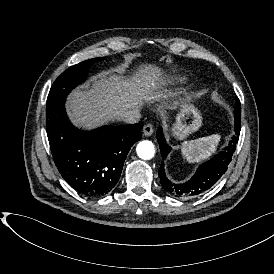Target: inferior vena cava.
<instances>
[{
  "mask_svg": "<svg viewBox=\"0 0 274 274\" xmlns=\"http://www.w3.org/2000/svg\"><path fill=\"white\" fill-rule=\"evenodd\" d=\"M141 118L140 111L137 109L125 111L119 114V120L127 124L137 123Z\"/></svg>",
  "mask_w": 274,
  "mask_h": 274,
  "instance_id": "obj_1",
  "label": "inferior vena cava"
}]
</instances>
